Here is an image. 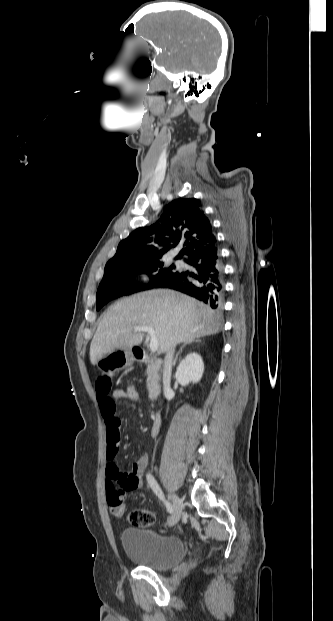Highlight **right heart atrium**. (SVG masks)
Instances as JSON below:
<instances>
[{"label":"right heart atrium","instance_id":"d8ad5b80","mask_svg":"<svg viewBox=\"0 0 333 621\" xmlns=\"http://www.w3.org/2000/svg\"><path fill=\"white\" fill-rule=\"evenodd\" d=\"M140 280H141L142 282H147V281H148V277H147V276H145V275H142V276L140 277Z\"/></svg>","mask_w":333,"mask_h":621}]
</instances>
